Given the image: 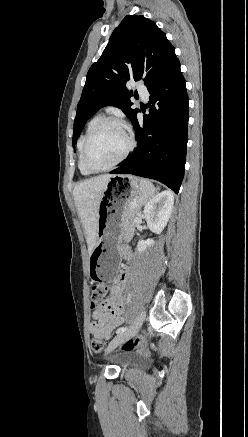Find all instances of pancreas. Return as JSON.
Listing matches in <instances>:
<instances>
[{"label":"pancreas","mask_w":248,"mask_h":437,"mask_svg":"<svg viewBox=\"0 0 248 437\" xmlns=\"http://www.w3.org/2000/svg\"><path fill=\"white\" fill-rule=\"evenodd\" d=\"M130 202L124 210L123 213V224H124V230L127 233H132L134 232L135 229V220L137 218V215L139 213V207L137 206H132Z\"/></svg>","instance_id":"cf45deb5"}]
</instances>
